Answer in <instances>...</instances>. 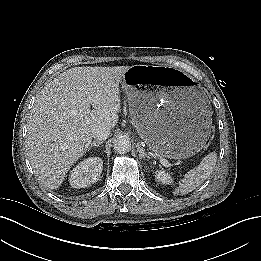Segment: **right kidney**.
<instances>
[{
    "label": "right kidney",
    "instance_id": "ca27d5eb",
    "mask_svg": "<svg viewBox=\"0 0 261 261\" xmlns=\"http://www.w3.org/2000/svg\"><path fill=\"white\" fill-rule=\"evenodd\" d=\"M103 169V161L99 157H91L81 161L71 170L69 182L73 188L80 189L98 181Z\"/></svg>",
    "mask_w": 261,
    "mask_h": 261
}]
</instances>
